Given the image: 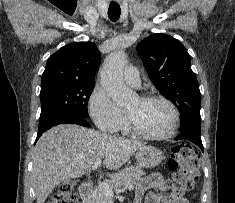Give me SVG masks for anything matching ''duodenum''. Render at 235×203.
Here are the masks:
<instances>
[{
  "instance_id": "410a0bca",
  "label": "duodenum",
  "mask_w": 235,
  "mask_h": 203,
  "mask_svg": "<svg viewBox=\"0 0 235 203\" xmlns=\"http://www.w3.org/2000/svg\"><path fill=\"white\" fill-rule=\"evenodd\" d=\"M93 188L94 184L92 181H85L80 185L78 189L80 203H89ZM134 203H139V201L135 199Z\"/></svg>"
}]
</instances>
